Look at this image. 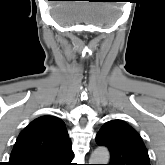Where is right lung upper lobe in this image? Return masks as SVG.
<instances>
[{"mask_svg": "<svg viewBox=\"0 0 165 165\" xmlns=\"http://www.w3.org/2000/svg\"><path fill=\"white\" fill-rule=\"evenodd\" d=\"M71 144L65 123L54 116L32 121L18 136L9 165H44Z\"/></svg>", "mask_w": 165, "mask_h": 165, "instance_id": "cb5924a9", "label": "right lung upper lobe"}]
</instances>
